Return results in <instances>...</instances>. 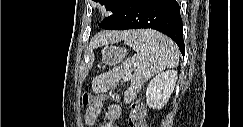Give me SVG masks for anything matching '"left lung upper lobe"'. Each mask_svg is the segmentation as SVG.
Returning a JSON list of instances; mask_svg holds the SVG:
<instances>
[{"label":"left lung upper lobe","instance_id":"5c2ea615","mask_svg":"<svg viewBox=\"0 0 243 127\" xmlns=\"http://www.w3.org/2000/svg\"><path fill=\"white\" fill-rule=\"evenodd\" d=\"M94 1L101 2V4L106 5L109 10L114 12V10L118 8L124 0H94ZM105 24H106V19L102 21L100 26L103 27Z\"/></svg>","mask_w":243,"mask_h":127}]
</instances>
